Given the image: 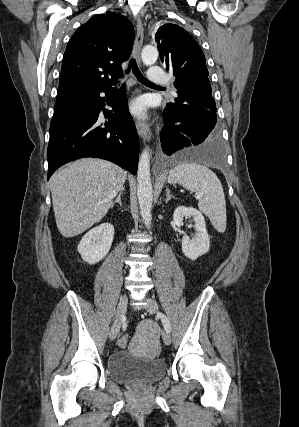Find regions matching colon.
I'll list each match as a JSON object with an SVG mask.
<instances>
[{
	"instance_id": "1",
	"label": "colon",
	"mask_w": 299,
	"mask_h": 427,
	"mask_svg": "<svg viewBox=\"0 0 299 427\" xmlns=\"http://www.w3.org/2000/svg\"><path fill=\"white\" fill-rule=\"evenodd\" d=\"M128 342H129L128 336L123 335V336L120 337V339L118 341V344H119L120 347L124 348V347H126L128 345Z\"/></svg>"
}]
</instances>
